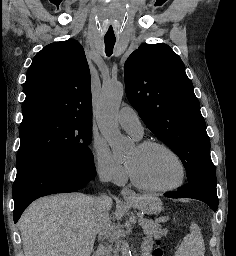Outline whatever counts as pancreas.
<instances>
[{"instance_id":"cf45deb5","label":"pancreas","mask_w":236,"mask_h":256,"mask_svg":"<svg viewBox=\"0 0 236 256\" xmlns=\"http://www.w3.org/2000/svg\"><path fill=\"white\" fill-rule=\"evenodd\" d=\"M110 232L111 227H108L107 233ZM143 232L146 238H161L166 235V232L161 230L160 224H155L153 220H143ZM144 242H147V239H144Z\"/></svg>"}]
</instances>
